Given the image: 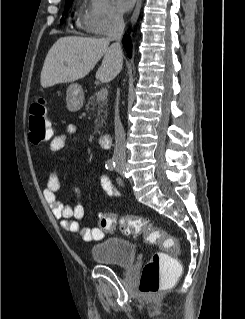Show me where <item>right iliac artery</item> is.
<instances>
[{"label":"right iliac artery","mask_w":245,"mask_h":319,"mask_svg":"<svg viewBox=\"0 0 245 319\" xmlns=\"http://www.w3.org/2000/svg\"><path fill=\"white\" fill-rule=\"evenodd\" d=\"M105 167H106V169L113 171L116 167V164H115L113 159H109V160H107Z\"/></svg>","instance_id":"obj_1"}]
</instances>
